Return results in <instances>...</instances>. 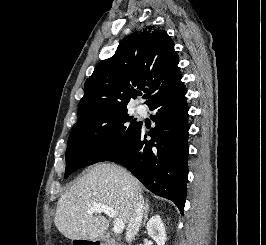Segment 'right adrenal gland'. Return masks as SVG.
<instances>
[{
  "label": "right adrenal gland",
  "instance_id": "obj_1",
  "mask_svg": "<svg viewBox=\"0 0 266 245\" xmlns=\"http://www.w3.org/2000/svg\"><path fill=\"white\" fill-rule=\"evenodd\" d=\"M149 205H150V201H148V199H145V209H144L145 213H144V219L142 221L143 227H144V225H146V221L148 219V213H149V209H150Z\"/></svg>",
  "mask_w": 266,
  "mask_h": 245
}]
</instances>
